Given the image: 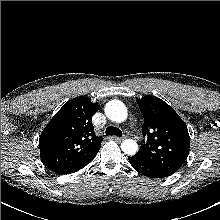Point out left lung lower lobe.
<instances>
[{
    "label": "left lung lower lobe",
    "instance_id": "0a47b994",
    "mask_svg": "<svg viewBox=\"0 0 220 220\" xmlns=\"http://www.w3.org/2000/svg\"><path fill=\"white\" fill-rule=\"evenodd\" d=\"M132 166L141 174L149 178H164L172 175V172H168L156 164L147 161L139 155L129 156L128 157Z\"/></svg>",
    "mask_w": 220,
    "mask_h": 220
}]
</instances>
